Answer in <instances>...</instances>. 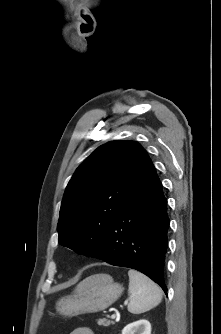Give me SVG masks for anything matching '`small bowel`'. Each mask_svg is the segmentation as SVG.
Wrapping results in <instances>:
<instances>
[{"mask_svg": "<svg viewBox=\"0 0 221 334\" xmlns=\"http://www.w3.org/2000/svg\"><path fill=\"white\" fill-rule=\"evenodd\" d=\"M70 334H93V332L90 328L79 327L74 329Z\"/></svg>", "mask_w": 221, "mask_h": 334, "instance_id": "small-bowel-1", "label": "small bowel"}]
</instances>
